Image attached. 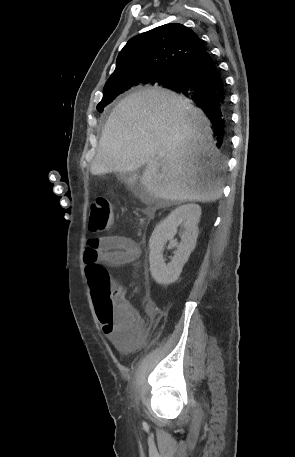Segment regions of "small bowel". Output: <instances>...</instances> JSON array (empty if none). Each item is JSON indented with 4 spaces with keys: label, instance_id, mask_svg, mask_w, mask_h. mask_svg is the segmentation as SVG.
I'll use <instances>...</instances> for the list:
<instances>
[{
    "label": "small bowel",
    "instance_id": "obj_1",
    "mask_svg": "<svg viewBox=\"0 0 295 457\" xmlns=\"http://www.w3.org/2000/svg\"><path fill=\"white\" fill-rule=\"evenodd\" d=\"M139 254V246L133 239L108 235L88 239L84 260L86 265L98 262L115 268L135 261ZM118 296L121 303L116 317L110 322L99 321L103 333L109 338H130L143 325L144 320L141 313L124 299V290L119 286ZM149 308L148 306L147 309Z\"/></svg>",
    "mask_w": 295,
    "mask_h": 457
}]
</instances>
